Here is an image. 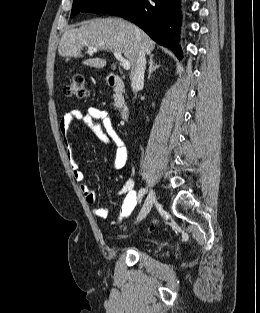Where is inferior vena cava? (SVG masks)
I'll list each match as a JSON object with an SVG mask.
<instances>
[{
  "mask_svg": "<svg viewBox=\"0 0 260 313\" xmlns=\"http://www.w3.org/2000/svg\"><path fill=\"white\" fill-rule=\"evenodd\" d=\"M146 50L141 46L134 74L131 77V87L134 92H137L140 87L144 85V73L146 68Z\"/></svg>",
  "mask_w": 260,
  "mask_h": 313,
  "instance_id": "obj_1",
  "label": "inferior vena cava"
}]
</instances>
